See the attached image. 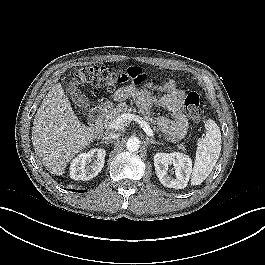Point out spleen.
<instances>
[{
    "instance_id": "1",
    "label": "spleen",
    "mask_w": 265,
    "mask_h": 265,
    "mask_svg": "<svg viewBox=\"0 0 265 265\" xmlns=\"http://www.w3.org/2000/svg\"><path fill=\"white\" fill-rule=\"evenodd\" d=\"M206 135L198 140L191 185L201 184L212 172L221 151V132L215 121L205 123Z\"/></svg>"
}]
</instances>
